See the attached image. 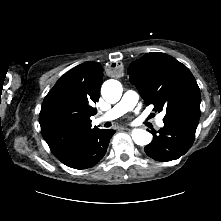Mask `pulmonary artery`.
<instances>
[{
    "label": "pulmonary artery",
    "mask_w": 221,
    "mask_h": 221,
    "mask_svg": "<svg viewBox=\"0 0 221 221\" xmlns=\"http://www.w3.org/2000/svg\"><path fill=\"white\" fill-rule=\"evenodd\" d=\"M139 100V96L135 91L128 90L124 93L123 97L121 100L113 106L111 109H109L107 112L103 113L100 118L98 119L99 122H107V121H112L126 112L132 110L137 102ZM163 116L160 115L157 117V124L162 127L164 126V123L162 121Z\"/></svg>",
    "instance_id": "obj_1"
}]
</instances>
